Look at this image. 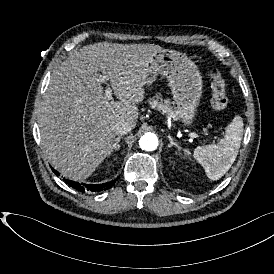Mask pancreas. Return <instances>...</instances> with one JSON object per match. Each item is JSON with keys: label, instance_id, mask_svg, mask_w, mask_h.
Returning a JSON list of instances; mask_svg holds the SVG:
<instances>
[{"label": "pancreas", "instance_id": "obj_1", "mask_svg": "<svg viewBox=\"0 0 274 274\" xmlns=\"http://www.w3.org/2000/svg\"><path fill=\"white\" fill-rule=\"evenodd\" d=\"M168 101L158 102L157 100H152V107L157 108L158 111L162 112L166 115L167 118L176 119V112L173 111L170 107H168Z\"/></svg>", "mask_w": 274, "mask_h": 274}]
</instances>
